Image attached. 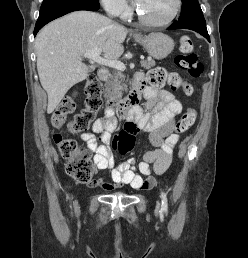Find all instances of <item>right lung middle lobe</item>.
<instances>
[{
  "label": "right lung middle lobe",
  "mask_w": 248,
  "mask_h": 258,
  "mask_svg": "<svg viewBox=\"0 0 248 258\" xmlns=\"http://www.w3.org/2000/svg\"><path fill=\"white\" fill-rule=\"evenodd\" d=\"M81 1L98 2V0H43V3L40 8V13H43L55 7L64 6Z\"/></svg>",
  "instance_id": "obj_1"
}]
</instances>
